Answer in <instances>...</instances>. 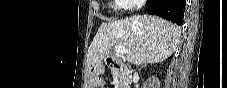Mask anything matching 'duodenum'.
I'll list each match as a JSON object with an SVG mask.
<instances>
[{
  "mask_svg": "<svg viewBox=\"0 0 227 88\" xmlns=\"http://www.w3.org/2000/svg\"><path fill=\"white\" fill-rule=\"evenodd\" d=\"M105 65L109 68H120L122 71H126L124 63L117 58H109L106 60Z\"/></svg>",
  "mask_w": 227,
  "mask_h": 88,
  "instance_id": "obj_1",
  "label": "duodenum"
}]
</instances>
